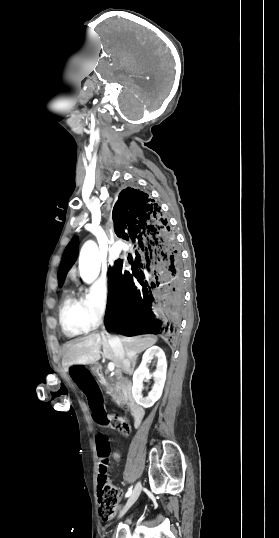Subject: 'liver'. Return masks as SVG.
Segmentation results:
<instances>
[{
  "mask_svg": "<svg viewBox=\"0 0 279 538\" xmlns=\"http://www.w3.org/2000/svg\"><path fill=\"white\" fill-rule=\"evenodd\" d=\"M119 340L124 348V358L115 356L107 338L101 334H90L86 338L76 340L69 348V366L95 364L100 360V348H102L106 360H112L118 370L132 374L131 364H135L138 358L136 354L144 352L157 342L156 336H152V334L136 336V338H119Z\"/></svg>",
  "mask_w": 279,
  "mask_h": 538,
  "instance_id": "1",
  "label": "liver"
}]
</instances>
